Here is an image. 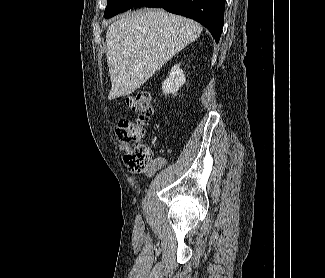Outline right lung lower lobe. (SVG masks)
Segmentation results:
<instances>
[{"instance_id": "98d812e1", "label": "right lung lower lobe", "mask_w": 325, "mask_h": 278, "mask_svg": "<svg viewBox=\"0 0 325 278\" xmlns=\"http://www.w3.org/2000/svg\"><path fill=\"white\" fill-rule=\"evenodd\" d=\"M158 7L189 17L204 25L219 42L223 22L225 0H137L133 7ZM132 7V8H133Z\"/></svg>"}]
</instances>
